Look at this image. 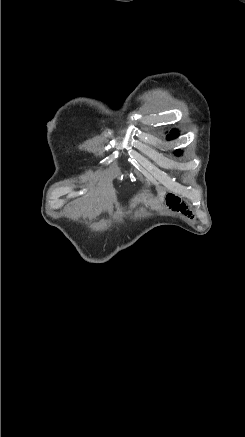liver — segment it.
Wrapping results in <instances>:
<instances>
[{
	"label": "liver",
	"instance_id": "obj_1",
	"mask_svg": "<svg viewBox=\"0 0 245 437\" xmlns=\"http://www.w3.org/2000/svg\"><path fill=\"white\" fill-rule=\"evenodd\" d=\"M163 193H159V196H160V201H163Z\"/></svg>",
	"mask_w": 245,
	"mask_h": 437
}]
</instances>
